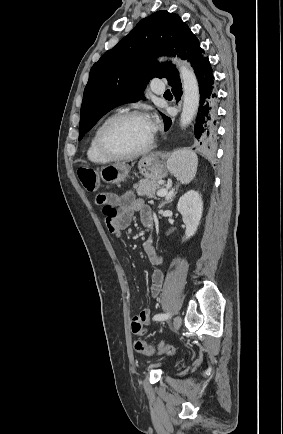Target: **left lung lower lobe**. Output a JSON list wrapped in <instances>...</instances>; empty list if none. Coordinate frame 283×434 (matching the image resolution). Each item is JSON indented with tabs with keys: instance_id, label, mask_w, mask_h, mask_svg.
<instances>
[{
	"instance_id": "1",
	"label": "left lung lower lobe",
	"mask_w": 283,
	"mask_h": 434,
	"mask_svg": "<svg viewBox=\"0 0 283 434\" xmlns=\"http://www.w3.org/2000/svg\"><path fill=\"white\" fill-rule=\"evenodd\" d=\"M194 72L199 83V108L196 117V124L194 126L196 144L204 148H211L214 146L217 137V110H218V96L215 85V78L211 68L209 59L206 58L199 63ZM172 87V93L177 100L182 95V86L178 82ZM165 130L171 126V119L164 118Z\"/></svg>"
}]
</instances>
